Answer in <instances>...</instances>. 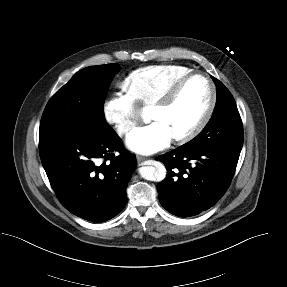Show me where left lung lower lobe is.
<instances>
[{
  "label": "left lung lower lobe",
  "mask_w": 287,
  "mask_h": 287,
  "mask_svg": "<svg viewBox=\"0 0 287 287\" xmlns=\"http://www.w3.org/2000/svg\"><path fill=\"white\" fill-rule=\"evenodd\" d=\"M240 152L184 144L159 157L168 171L157 186L161 205L179 217L198 215L224 195Z\"/></svg>",
  "instance_id": "left-lung-lower-lobe-1"
}]
</instances>
